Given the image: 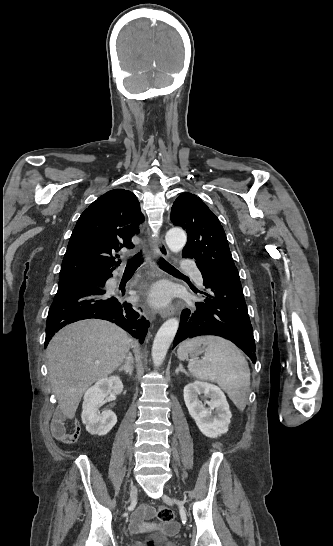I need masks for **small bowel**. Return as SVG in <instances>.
<instances>
[{
	"label": "small bowel",
	"instance_id": "obj_1",
	"mask_svg": "<svg viewBox=\"0 0 333 546\" xmlns=\"http://www.w3.org/2000/svg\"><path fill=\"white\" fill-rule=\"evenodd\" d=\"M51 430L53 436L64 443H74L77 441L81 434V428L78 424L75 425L72 432L67 433V427L65 420L62 418H54L51 423ZM154 516V509L149 505H143L136 510L130 521V529L133 532H139L147 526L146 520L151 519ZM176 527L174 524L167 525V530H172Z\"/></svg>",
	"mask_w": 333,
	"mask_h": 546
}]
</instances>
